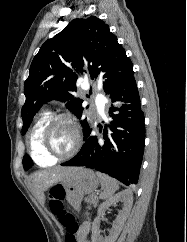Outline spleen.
Listing matches in <instances>:
<instances>
[{
	"instance_id": "spleen-1",
	"label": "spleen",
	"mask_w": 187,
	"mask_h": 242,
	"mask_svg": "<svg viewBox=\"0 0 187 242\" xmlns=\"http://www.w3.org/2000/svg\"><path fill=\"white\" fill-rule=\"evenodd\" d=\"M96 175L101 182L102 192L100 194V198H111L114 195V193L119 189L118 182L115 179L109 177L108 175L100 172H97Z\"/></svg>"
}]
</instances>
